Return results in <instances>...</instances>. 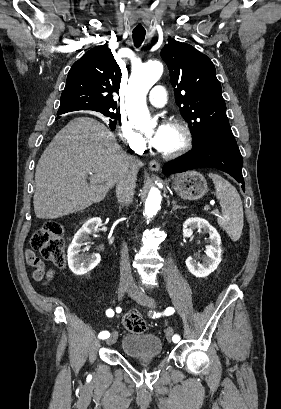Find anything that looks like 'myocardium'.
Instances as JSON below:
<instances>
[{"label":"myocardium","instance_id":"obj_1","mask_svg":"<svg viewBox=\"0 0 281 409\" xmlns=\"http://www.w3.org/2000/svg\"><path fill=\"white\" fill-rule=\"evenodd\" d=\"M166 126L176 128L181 131L182 136H183L182 143L176 149L172 151L163 152L157 149V152L164 159H175L185 154L192 147L193 133L190 127L185 122L178 120V119H171L167 121Z\"/></svg>","mask_w":281,"mask_h":409}]
</instances>
